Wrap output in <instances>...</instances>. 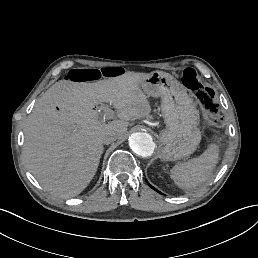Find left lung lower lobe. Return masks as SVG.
<instances>
[{
  "label": "left lung lower lobe",
  "mask_w": 258,
  "mask_h": 258,
  "mask_svg": "<svg viewBox=\"0 0 258 258\" xmlns=\"http://www.w3.org/2000/svg\"><path fill=\"white\" fill-rule=\"evenodd\" d=\"M146 182H147V184H148L152 189H154L155 191L159 192L157 189H155L153 186H151V185L148 183V181H146ZM159 193H161V192H159Z\"/></svg>",
  "instance_id": "1"
}]
</instances>
